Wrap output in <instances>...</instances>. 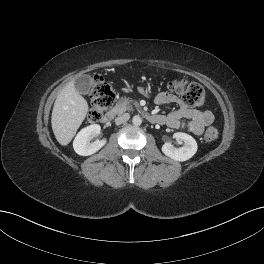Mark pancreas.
Returning a JSON list of instances; mask_svg holds the SVG:
<instances>
[{"instance_id": "pancreas-1", "label": "pancreas", "mask_w": 264, "mask_h": 264, "mask_svg": "<svg viewBox=\"0 0 264 264\" xmlns=\"http://www.w3.org/2000/svg\"><path fill=\"white\" fill-rule=\"evenodd\" d=\"M132 105H137V103L127 97H122L116 104L115 109L118 112L133 110Z\"/></svg>"}]
</instances>
